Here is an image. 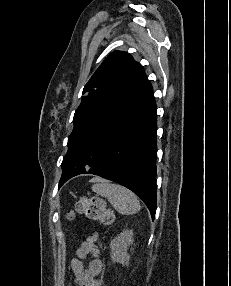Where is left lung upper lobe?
I'll use <instances>...</instances> for the list:
<instances>
[{
  "mask_svg": "<svg viewBox=\"0 0 231 286\" xmlns=\"http://www.w3.org/2000/svg\"><path fill=\"white\" fill-rule=\"evenodd\" d=\"M146 81L144 69L126 52L115 51L103 61L83 89L62 169L82 138Z\"/></svg>",
  "mask_w": 231,
  "mask_h": 286,
  "instance_id": "left-lung-upper-lobe-1",
  "label": "left lung upper lobe"
}]
</instances>
